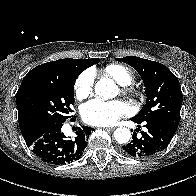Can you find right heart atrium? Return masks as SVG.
<instances>
[{
  "label": "right heart atrium",
  "instance_id": "d8ad5b80",
  "mask_svg": "<svg viewBox=\"0 0 196 196\" xmlns=\"http://www.w3.org/2000/svg\"><path fill=\"white\" fill-rule=\"evenodd\" d=\"M94 84V72L86 70L75 81L74 93L76 98L85 99L92 94Z\"/></svg>",
  "mask_w": 196,
  "mask_h": 196
}]
</instances>
